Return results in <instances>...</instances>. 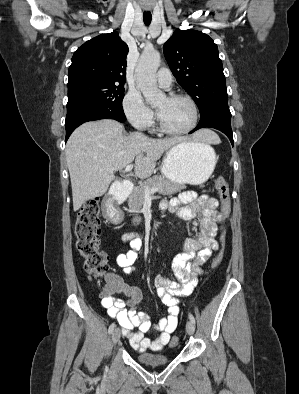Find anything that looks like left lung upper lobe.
<instances>
[{"instance_id":"5c2ea615","label":"left lung upper lobe","mask_w":299,"mask_h":394,"mask_svg":"<svg viewBox=\"0 0 299 394\" xmlns=\"http://www.w3.org/2000/svg\"><path fill=\"white\" fill-rule=\"evenodd\" d=\"M164 56L178 84L194 99L200 115L228 105L225 76L218 48L196 30H176L164 44Z\"/></svg>"}]
</instances>
